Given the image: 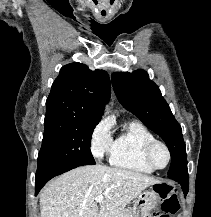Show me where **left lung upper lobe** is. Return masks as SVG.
<instances>
[{
	"instance_id": "left-lung-upper-lobe-1",
	"label": "left lung upper lobe",
	"mask_w": 211,
	"mask_h": 217,
	"mask_svg": "<svg viewBox=\"0 0 211 217\" xmlns=\"http://www.w3.org/2000/svg\"><path fill=\"white\" fill-rule=\"evenodd\" d=\"M112 82L123 107L135 114L168 146L171 154L168 178L189 181L181 126L175 120L158 86L149 79L144 70L133 73L116 72L112 75Z\"/></svg>"
}]
</instances>
